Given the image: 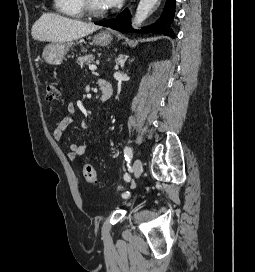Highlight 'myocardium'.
<instances>
[{
    "label": "myocardium",
    "instance_id": "f54148a6",
    "mask_svg": "<svg viewBox=\"0 0 255 272\" xmlns=\"http://www.w3.org/2000/svg\"><path fill=\"white\" fill-rule=\"evenodd\" d=\"M82 5L84 11L94 17H100L107 13L106 10H97L92 4V0H82Z\"/></svg>",
    "mask_w": 255,
    "mask_h": 272
}]
</instances>
